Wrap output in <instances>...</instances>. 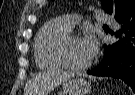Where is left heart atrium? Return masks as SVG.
Listing matches in <instances>:
<instances>
[{"instance_id": "obj_1", "label": "left heart atrium", "mask_w": 135, "mask_h": 95, "mask_svg": "<svg viewBox=\"0 0 135 95\" xmlns=\"http://www.w3.org/2000/svg\"><path fill=\"white\" fill-rule=\"evenodd\" d=\"M82 48L87 59H91L97 52V41L92 35H86L81 38Z\"/></svg>"}]
</instances>
